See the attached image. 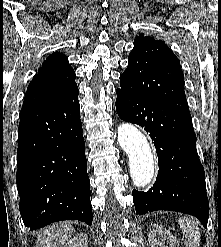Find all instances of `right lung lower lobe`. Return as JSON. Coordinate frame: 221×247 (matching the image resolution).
<instances>
[{"label": "right lung lower lobe", "mask_w": 221, "mask_h": 247, "mask_svg": "<svg viewBox=\"0 0 221 247\" xmlns=\"http://www.w3.org/2000/svg\"><path fill=\"white\" fill-rule=\"evenodd\" d=\"M78 94L21 112L16 182L30 230L70 219L92 224Z\"/></svg>", "instance_id": "obj_1"}]
</instances>
